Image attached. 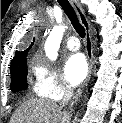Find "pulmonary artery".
Returning <instances> with one entry per match:
<instances>
[{"mask_svg": "<svg viewBox=\"0 0 122 123\" xmlns=\"http://www.w3.org/2000/svg\"><path fill=\"white\" fill-rule=\"evenodd\" d=\"M66 46L71 51H77L80 48V43L77 37L71 36L67 39Z\"/></svg>", "mask_w": 122, "mask_h": 123, "instance_id": "e3ab8cb5", "label": "pulmonary artery"}]
</instances>
